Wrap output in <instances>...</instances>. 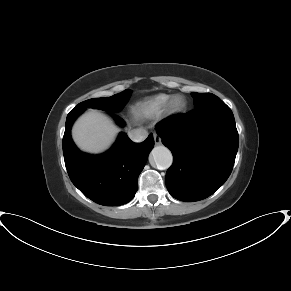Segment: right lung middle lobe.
I'll return each mask as SVG.
<instances>
[{"label":"right lung middle lobe","mask_w":291,"mask_h":291,"mask_svg":"<svg viewBox=\"0 0 291 291\" xmlns=\"http://www.w3.org/2000/svg\"><path fill=\"white\" fill-rule=\"evenodd\" d=\"M131 91L124 90L120 94L105 98H93L79 103L76 109L97 108L108 112H119L127 103Z\"/></svg>","instance_id":"dd1d6c3e"}]
</instances>
